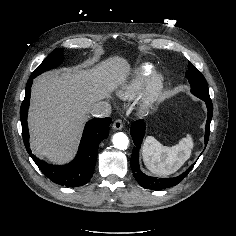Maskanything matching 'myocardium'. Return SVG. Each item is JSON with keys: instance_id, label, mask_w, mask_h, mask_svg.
Returning <instances> with one entry per match:
<instances>
[{"instance_id": "f54148a6", "label": "myocardium", "mask_w": 236, "mask_h": 236, "mask_svg": "<svg viewBox=\"0 0 236 236\" xmlns=\"http://www.w3.org/2000/svg\"><path fill=\"white\" fill-rule=\"evenodd\" d=\"M165 83V76L162 73H156L150 79L143 99L141 101L142 110L150 108L159 98Z\"/></svg>"}]
</instances>
